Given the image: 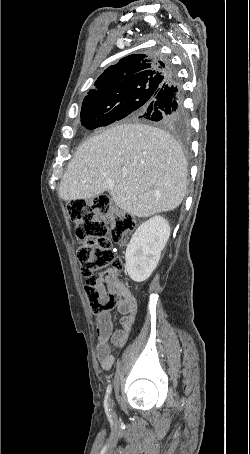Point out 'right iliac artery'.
Instances as JSON below:
<instances>
[{
	"label": "right iliac artery",
	"mask_w": 250,
	"mask_h": 454,
	"mask_svg": "<svg viewBox=\"0 0 250 454\" xmlns=\"http://www.w3.org/2000/svg\"><path fill=\"white\" fill-rule=\"evenodd\" d=\"M111 391H112V386H111V384H109L108 387H107L106 396H105V405H106V408H108L107 400H108V398H109V395L111 394Z\"/></svg>",
	"instance_id": "obj_1"
}]
</instances>
